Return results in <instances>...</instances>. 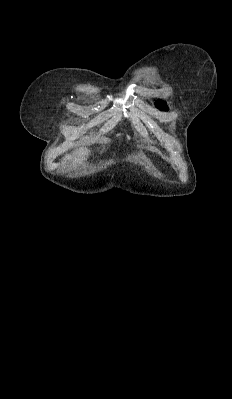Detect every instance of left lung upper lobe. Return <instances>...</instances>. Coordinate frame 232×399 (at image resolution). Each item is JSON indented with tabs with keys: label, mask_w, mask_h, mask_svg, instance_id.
<instances>
[{
	"label": "left lung upper lobe",
	"mask_w": 232,
	"mask_h": 399,
	"mask_svg": "<svg viewBox=\"0 0 232 399\" xmlns=\"http://www.w3.org/2000/svg\"><path fill=\"white\" fill-rule=\"evenodd\" d=\"M155 105L158 109L162 110V111H167L168 107L166 105V103L162 100H156Z\"/></svg>",
	"instance_id": "1"
}]
</instances>
